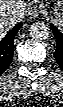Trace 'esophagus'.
Instances as JSON below:
<instances>
[{"instance_id":"esophagus-1","label":"esophagus","mask_w":63,"mask_h":107,"mask_svg":"<svg viewBox=\"0 0 63 107\" xmlns=\"http://www.w3.org/2000/svg\"><path fill=\"white\" fill-rule=\"evenodd\" d=\"M41 12H42V11H41L40 7H38V6H33V7L31 8V10L29 11L30 18H32V19L38 18L39 15L41 14Z\"/></svg>"}]
</instances>
